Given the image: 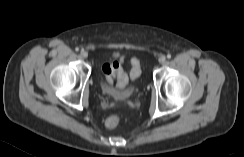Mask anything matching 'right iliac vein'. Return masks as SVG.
Here are the masks:
<instances>
[{
	"label": "right iliac vein",
	"instance_id": "obj_1",
	"mask_svg": "<svg viewBox=\"0 0 244 157\" xmlns=\"http://www.w3.org/2000/svg\"><path fill=\"white\" fill-rule=\"evenodd\" d=\"M80 55L84 59L88 57V53L86 51H84V50L81 51Z\"/></svg>",
	"mask_w": 244,
	"mask_h": 157
}]
</instances>
